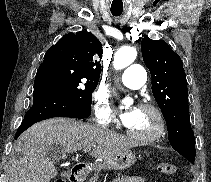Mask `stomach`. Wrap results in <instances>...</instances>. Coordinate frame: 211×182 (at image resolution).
<instances>
[{
  "label": "stomach",
  "mask_w": 211,
  "mask_h": 182,
  "mask_svg": "<svg viewBox=\"0 0 211 182\" xmlns=\"http://www.w3.org/2000/svg\"><path fill=\"white\" fill-rule=\"evenodd\" d=\"M135 159V153L130 149H126L104 160V162L98 166V169L125 170L135 162Z\"/></svg>",
  "instance_id": "obj_1"
}]
</instances>
